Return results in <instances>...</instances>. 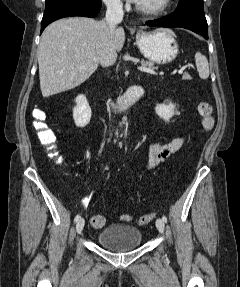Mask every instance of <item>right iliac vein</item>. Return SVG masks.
<instances>
[{
  "mask_svg": "<svg viewBox=\"0 0 240 287\" xmlns=\"http://www.w3.org/2000/svg\"><path fill=\"white\" fill-rule=\"evenodd\" d=\"M84 224H85V221L83 218H80L78 221H77V224H76V232L79 234L82 232L83 228H84Z\"/></svg>",
  "mask_w": 240,
  "mask_h": 287,
  "instance_id": "right-iliac-vein-1",
  "label": "right iliac vein"
}]
</instances>
